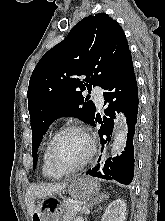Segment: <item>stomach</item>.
<instances>
[{
    "label": "stomach",
    "instance_id": "0dacf381",
    "mask_svg": "<svg viewBox=\"0 0 165 221\" xmlns=\"http://www.w3.org/2000/svg\"><path fill=\"white\" fill-rule=\"evenodd\" d=\"M66 192L75 199H89L99 192V184L92 178H75L68 185ZM69 200H36L35 212H31L32 221H66L58 213H66ZM54 217V218H48Z\"/></svg>",
    "mask_w": 165,
    "mask_h": 221
}]
</instances>
